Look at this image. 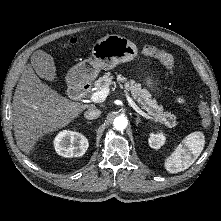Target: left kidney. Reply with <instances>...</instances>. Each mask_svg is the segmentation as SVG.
Wrapping results in <instances>:
<instances>
[{
	"mask_svg": "<svg viewBox=\"0 0 221 221\" xmlns=\"http://www.w3.org/2000/svg\"><path fill=\"white\" fill-rule=\"evenodd\" d=\"M166 137L163 133H151L148 139L149 146L153 149H159L165 143Z\"/></svg>",
	"mask_w": 221,
	"mask_h": 221,
	"instance_id": "1",
	"label": "left kidney"
}]
</instances>
